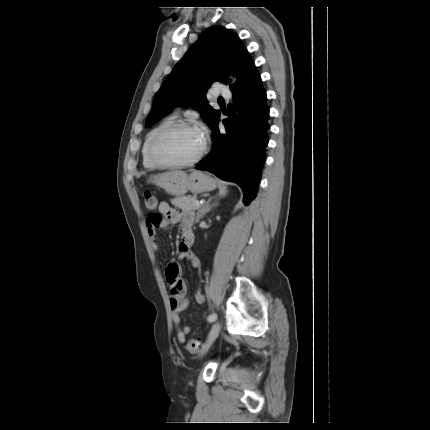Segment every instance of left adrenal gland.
Wrapping results in <instances>:
<instances>
[{
    "label": "left adrenal gland",
    "mask_w": 430,
    "mask_h": 430,
    "mask_svg": "<svg viewBox=\"0 0 430 430\" xmlns=\"http://www.w3.org/2000/svg\"><path fill=\"white\" fill-rule=\"evenodd\" d=\"M211 202V198L208 199V201L204 204V206L199 210L198 214H197V218L196 220H200L201 218L204 217V215L208 212L211 211V209L215 206H218L217 203H214L212 206L209 204Z\"/></svg>",
    "instance_id": "left-adrenal-gland-1"
}]
</instances>
